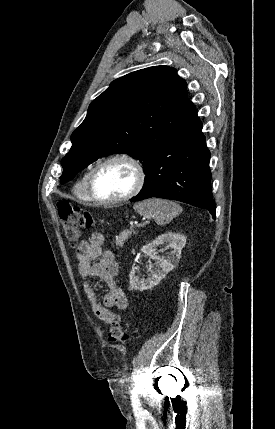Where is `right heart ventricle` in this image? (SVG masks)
<instances>
[{
	"instance_id": "1",
	"label": "right heart ventricle",
	"mask_w": 275,
	"mask_h": 429,
	"mask_svg": "<svg viewBox=\"0 0 275 429\" xmlns=\"http://www.w3.org/2000/svg\"><path fill=\"white\" fill-rule=\"evenodd\" d=\"M93 167L87 168L83 174L80 176V178L77 180L73 187V193L74 195L81 201L88 202L90 201L87 191H86V184L88 175Z\"/></svg>"
}]
</instances>
